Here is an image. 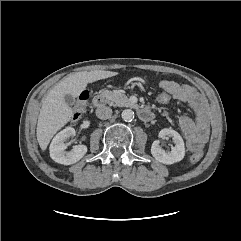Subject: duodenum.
I'll return each mask as SVG.
<instances>
[{"instance_id":"duodenum-1","label":"duodenum","mask_w":241,"mask_h":241,"mask_svg":"<svg viewBox=\"0 0 241 241\" xmlns=\"http://www.w3.org/2000/svg\"><path fill=\"white\" fill-rule=\"evenodd\" d=\"M106 103V99L103 95H95L93 97V105L96 107V108H102ZM138 115L140 117V119H142L143 121H149L153 118V114L152 112L147 109V108H142L138 111Z\"/></svg>"}]
</instances>
